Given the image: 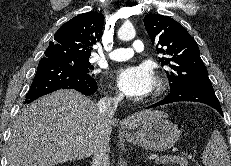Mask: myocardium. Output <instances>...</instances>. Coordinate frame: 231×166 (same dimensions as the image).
<instances>
[{"label": "myocardium", "mask_w": 231, "mask_h": 166, "mask_svg": "<svg viewBox=\"0 0 231 166\" xmlns=\"http://www.w3.org/2000/svg\"><path fill=\"white\" fill-rule=\"evenodd\" d=\"M166 83L162 77H157L155 81L154 90L152 93V98H157L165 91Z\"/></svg>", "instance_id": "myocardium-1"}]
</instances>
